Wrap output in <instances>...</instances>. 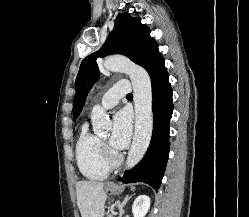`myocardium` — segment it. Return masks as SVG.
<instances>
[{
	"mask_svg": "<svg viewBox=\"0 0 249 217\" xmlns=\"http://www.w3.org/2000/svg\"><path fill=\"white\" fill-rule=\"evenodd\" d=\"M104 156L109 166H118L122 162L121 154L104 147Z\"/></svg>",
	"mask_w": 249,
	"mask_h": 217,
	"instance_id": "1",
	"label": "myocardium"
}]
</instances>
